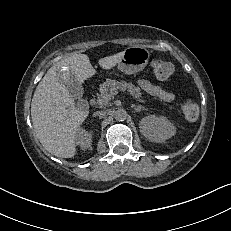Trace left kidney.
Returning <instances> with one entry per match:
<instances>
[{"mask_svg":"<svg viewBox=\"0 0 231 231\" xmlns=\"http://www.w3.org/2000/svg\"><path fill=\"white\" fill-rule=\"evenodd\" d=\"M139 128L142 134L152 142H165L176 133V127L166 117L148 115L141 119Z\"/></svg>","mask_w":231,"mask_h":231,"instance_id":"obj_1","label":"left kidney"}]
</instances>
